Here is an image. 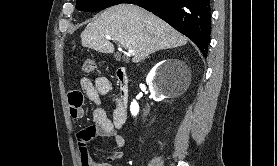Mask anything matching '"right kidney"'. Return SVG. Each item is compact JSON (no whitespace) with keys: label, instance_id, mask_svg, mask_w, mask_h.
<instances>
[{"label":"right kidney","instance_id":"ca27d5eb","mask_svg":"<svg viewBox=\"0 0 277 166\" xmlns=\"http://www.w3.org/2000/svg\"><path fill=\"white\" fill-rule=\"evenodd\" d=\"M167 63L178 65V67H183V63L177 60H164L158 63L152 69V71L147 76L146 82L149 85L151 98H153V100L155 101H162L165 98V96L163 95L164 78L161 74V71L164 68V65ZM130 111L132 115H137V113L139 112V105L135 100H133L130 105Z\"/></svg>","mask_w":277,"mask_h":166}]
</instances>
